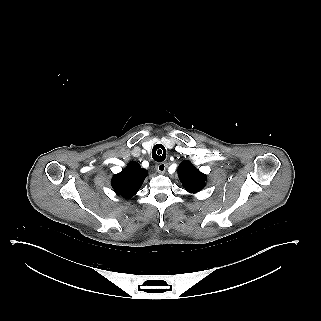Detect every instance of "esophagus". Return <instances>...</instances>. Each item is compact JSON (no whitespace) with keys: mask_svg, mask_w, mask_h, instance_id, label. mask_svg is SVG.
Returning <instances> with one entry per match:
<instances>
[{"mask_svg":"<svg viewBox=\"0 0 321 321\" xmlns=\"http://www.w3.org/2000/svg\"><path fill=\"white\" fill-rule=\"evenodd\" d=\"M166 167H167V163L166 162H163V163H160L158 166H157V171L160 173V174H163L166 170Z\"/></svg>","mask_w":321,"mask_h":321,"instance_id":"1","label":"esophagus"}]
</instances>
